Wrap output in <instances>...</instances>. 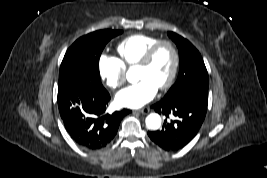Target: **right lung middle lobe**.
<instances>
[{
  "mask_svg": "<svg viewBox=\"0 0 267 178\" xmlns=\"http://www.w3.org/2000/svg\"><path fill=\"white\" fill-rule=\"evenodd\" d=\"M120 30H99L82 36L67 50L60 66L59 86L89 81L102 86L99 59L107 42L121 34Z\"/></svg>",
  "mask_w": 267,
  "mask_h": 178,
  "instance_id": "right-lung-middle-lobe-1",
  "label": "right lung middle lobe"
}]
</instances>
